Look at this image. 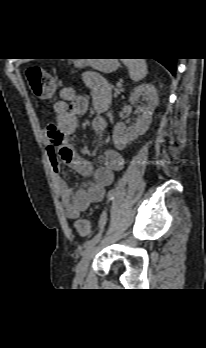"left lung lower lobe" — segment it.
<instances>
[{"instance_id":"obj_1","label":"left lung lower lobe","mask_w":206,"mask_h":348,"mask_svg":"<svg viewBox=\"0 0 206 348\" xmlns=\"http://www.w3.org/2000/svg\"><path fill=\"white\" fill-rule=\"evenodd\" d=\"M176 60V58H166L158 59L157 61L164 65L172 73V75H175Z\"/></svg>"}]
</instances>
